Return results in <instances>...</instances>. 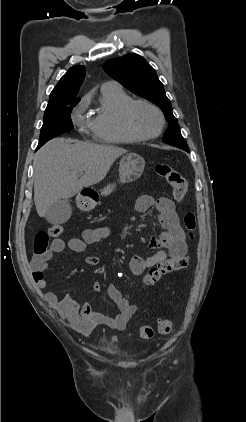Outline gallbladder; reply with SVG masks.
<instances>
[{"instance_id":"gallbladder-1","label":"gallbladder","mask_w":246,"mask_h":422,"mask_svg":"<svg viewBox=\"0 0 246 422\" xmlns=\"http://www.w3.org/2000/svg\"><path fill=\"white\" fill-rule=\"evenodd\" d=\"M72 208L68 199H59L46 212L45 218L52 224H63L71 216Z\"/></svg>"}]
</instances>
